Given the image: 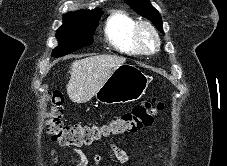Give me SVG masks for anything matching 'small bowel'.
I'll list each match as a JSON object with an SVG mask.
<instances>
[{"label":"small bowel","instance_id":"small-bowel-1","mask_svg":"<svg viewBox=\"0 0 227 166\" xmlns=\"http://www.w3.org/2000/svg\"><path fill=\"white\" fill-rule=\"evenodd\" d=\"M111 149L113 150L114 155L119 162L126 163L128 161V156L123 149H121L120 147H118L115 144L111 145ZM75 153L79 159L77 166H88L89 161H88L86 154L80 149H75ZM52 160L54 162L57 161V156H56L55 152H52ZM93 160L95 163H98L101 160V157L98 154H96V155H94Z\"/></svg>","mask_w":227,"mask_h":166}]
</instances>
